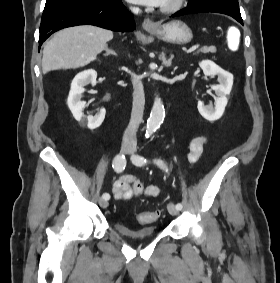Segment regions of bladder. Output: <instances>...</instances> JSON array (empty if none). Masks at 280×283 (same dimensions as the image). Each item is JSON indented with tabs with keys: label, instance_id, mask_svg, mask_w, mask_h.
<instances>
[{
	"label": "bladder",
	"instance_id": "1",
	"mask_svg": "<svg viewBox=\"0 0 280 283\" xmlns=\"http://www.w3.org/2000/svg\"><path fill=\"white\" fill-rule=\"evenodd\" d=\"M115 231L130 240H146L155 236V227L153 225H145L139 229H131L122 222L114 224Z\"/></svg>",
	"mask_w": 280,
	"mask_h": 283
}]
</instances>
